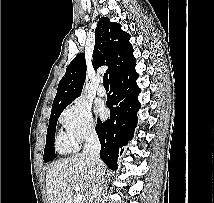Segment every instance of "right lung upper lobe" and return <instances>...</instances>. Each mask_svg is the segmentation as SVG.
Wrapping results in <instances>:
<instances>
[{
	"mask_svg": "<svg viewBox=\"0 0 214 203\" xmlns=\"http://www.w3.org/2000/svg\"><path fill=\"white\" fill-rule=\"evenodd\" d=\"M130 35L121 30L120 24L101 17L95 30L93 67L108 66L110 80L132 68L136 60L129 42ZM86 78L85 54L77 55L66 69L58 84L51 114L66 107L80 96Z\"/></svg>",
	"mask_w": 214,
	"mask_h": 203,
	"instance_id": "cb5924a9",
	"label": "right lung upper lobe"
}]
</instances>
